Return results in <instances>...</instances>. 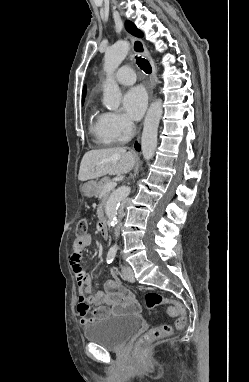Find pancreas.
I'll return each mask as SVG.
<instances>
[{"mask_svg": "<svg viewBox=\"0 0 249 382\" xmlns=\"http://www.w3.org/2000/svg\"><path fill=\"white\" fill-rule=\"evenodd\" d=\"M108 182H111V179L109 177H104L103 179H101L98 182V184L96 185V189L94 192L95 197L102 195V201L99 204L98 209H97V215H98L99 219H101L103 217V207H104V205H105V203L108 200L109 195H110L109 191H104V187Z\"/></svg>", "mask_w": 249, "mask_h": 382, "instance_id": "pancreas-1", "label": "pancreas"}]
</instances>
